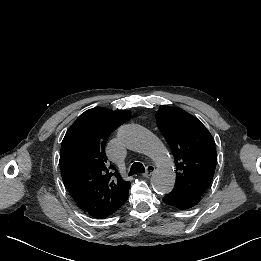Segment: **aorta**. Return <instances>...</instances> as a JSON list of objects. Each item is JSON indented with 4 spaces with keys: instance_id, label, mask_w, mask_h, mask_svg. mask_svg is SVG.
I'll use <instances>...</instances> for the list:
<instances>
[{
    "instance_id": "762f6f07",
    "label": "aorta",
    "mask_w": 261,
    "mask_h": 261,
    "mask_svg": "<svg viewBox=\"0 0 261 261\" xmlns=\"http://www.w3.org/2000/svg\"><path fill=\"white\" fill-rule=\"evenodd\" d=\"M118 139L126 148L149 156L157 165L151 177L154 190L161 195L172 191L176 174L166 147L149 130L140 125L127 124L118 131Z\"/></svg>"
}]
</instances>
